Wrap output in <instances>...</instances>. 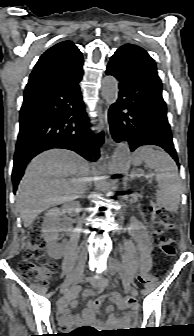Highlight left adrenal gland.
<instances>
[{"label": "left adrenal gland", "instance_id": "left-adrenal-gland-1", "mask_svg": "<svg viewBox=\"0 0 194 336\" xmlns=\"http://www.w3.org/2000/svg\"><path fill=\"white\" fill-rule=\"evenodd\" d=\"M137 176V174L135 172H132V174L130 175V179H134Z\"/></svg>", "mask_w": 194, "mask_h": 336}]
</instances>
